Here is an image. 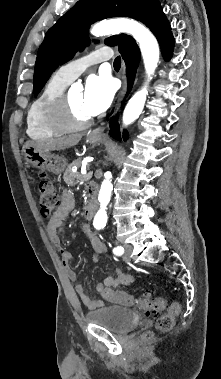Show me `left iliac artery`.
Instances as JSON below:
<instances>
[{
    "mask_svg": "<svg viewBox=\"0 0 221 379\" xmlns=\"http://www.w3.org/2000/svg\"><path fill=\"white\" fill-rule=\"evenodd\" d=\"M113 253L117 256H120L124 253V248L121 246H117L113 249Z\"/></svg>",
    "mask_w": 221,
    "mask_h": 379,
    "instance_id": "obj_1",
    "label": "left iliac artery"
}]
</instances>
